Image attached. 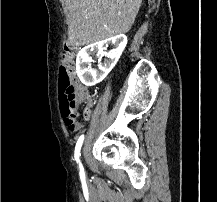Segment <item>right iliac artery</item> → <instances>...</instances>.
I'll list each match as a JSON object with an SVG mask.
<instances>
[{"instance_id": "obj_1", "label": "right iliac artery", "mask_w": 217, "mask_h": 202, "mask_svg": "<svg viewBox=\"0 0 217 202\" xmlns=\"http://www.w3.org/2000/svg\"><path fill=\"white\" fill-rule=\"evenodd\" d=\"M83 140H84V135H81L76 143V147H75V154H74V157H75V160L77 161V163H81L80 162V149H81V146H82V143H83Z\"/></svg>"}]
</instances>
